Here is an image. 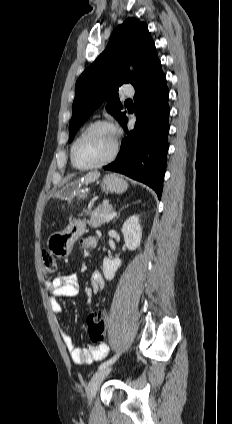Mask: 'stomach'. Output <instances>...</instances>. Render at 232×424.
I'll list each match as a JSON object with an SVG mask.
<instances>
[{"label":"stomach","instance_id":"1","mask_svg":"<svg viewBox=\"0 0 232 424\" xmlns=\"http://www.w3.org/2000/svg\"><path fill=\"white\" fill-rule=\"evenodd\" d=\"M101 188L105 192L121 194L128 189V183L115 174L106 175L101 181ZM63 189L60 193H64ZM86 231L85 221H73L64 231L54 232L47 239L49 252L58 258L67 257L74 243Z\"/></svg>","mask_w":232,"mask_h":424}]
</instances>
